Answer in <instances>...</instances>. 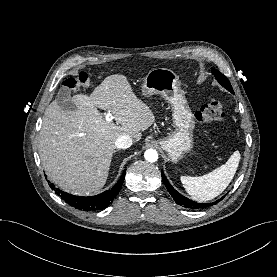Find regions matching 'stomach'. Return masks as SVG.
Listing matches in <instances>:
<instances>
[{
  "instance_id": "stomach-1",
  "label": "stomach",
  "mask_w": 277,
  "mask_h": 277,
  "mask_svg": "<svg viewBox=\"0 0 277 277\" xmlns=\"http://www.w3.org/2000/svg\"><path fill=\"white\" fill-rule=\"evenodd\" d=\"M142 92L145 96L159 94L171 105L175 131L160 139L159 144L172 162L179 161L193 147L195 119L177 75L170 69H153L143 80Z\"/></svg>"
}]
</instances>
